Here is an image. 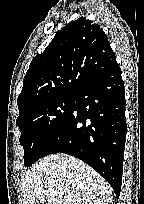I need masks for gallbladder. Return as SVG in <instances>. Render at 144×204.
Here are the masks:
<instances>
[{"instance_id":"bac80fb5","label":"gallbladder","mask_w":144,"mask_h":204,"mask_svg":"<svg viewBox=\"0 0 144 204\" xmlns=\"http://www.w3.org/2000/svg\"><path fill=\"white\" fill-rule=\"evenodd\" d=\"M33 204H44L41 200H36Z\"/></svg>"}]
</instances>
